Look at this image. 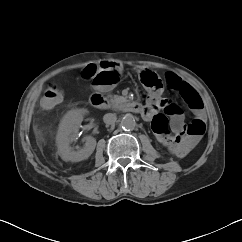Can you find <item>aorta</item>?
<instances>
[{"instance_id": "obj_1", "label": "aorta", "mask_w": 242, "mask_h": 242, "mask_svg": "<svg viewBox=\"0 0 242 242\" xmlns=\"http://www.w3.org/2000/svg\"><path fill=\"white\" fill-rule=\"evenodd\" d=\"M120 125L124 130H128V131L133 130L136 126V122H135L133 115L126 114L122 118Z\"/></svg>"}]
</instances>
